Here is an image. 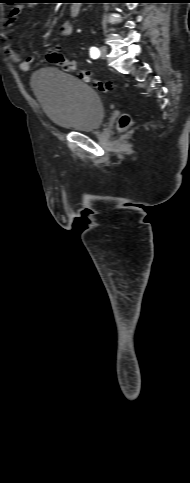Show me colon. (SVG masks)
<instances>
[{
	"label": "colon",
	"mask_w": 190,
	"mask_h": 483,
	"mask_svg": "<svg viewBox=\"0 0 190 483\" xmlns=\"http://www.w3.org/2000/svg\"><path fill=\"white\" fill-rule=\"evenodd\" d=\"M47 62L59 66L64 72L76 73L81 80L86 83H91L101 93H108L112 89V84L109 82L95 81L87 71L79 70L76 63L67 59L59 50H50L45 56ZM132 124L130 115L123 114L119 120L120 129H127Z\"/></svg>",
	"instance_id": "obj_1"
}]
</instances>
